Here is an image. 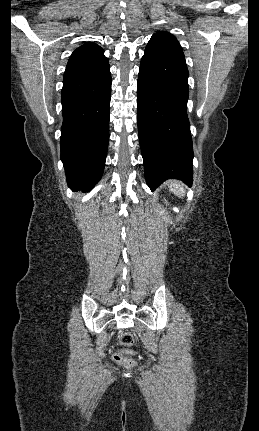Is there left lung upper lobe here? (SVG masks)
I'll use <instances>...</instances> for the list:
<instances>
[{
  "instance_id": "left-lung-upper-lobe-1",
  "label": "left lung upper lobe",
  "mask_w": 259,
  "mask_h": 431,
  "mask_svg": "<svg viewBox=\"0 0 259 431\" xmlns=\"http://www.w3.org/2000/svg\"><path fill=\"white\" fill-rule=\"evenodd\" d=\"M151 39L163 42V43H165L171 47H174V48L182 51V48H181L179 42L177 41V39L175 38V36H173L172 34L166 32V31H160V32L154 34L151 37Z\"/></svg>"
}]
</instances>
